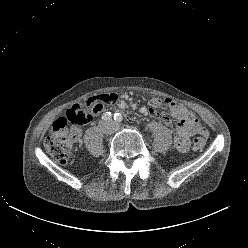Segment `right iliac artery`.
Segmentation results:
<instances>
[{
    "label": "right iliac artery",
    "instance_id": "1",
    "mask_svg": "<svg viewBox=\"0 0 248 248\" xmlns=\"http://www.w3.org/2000/svg\"><path fill=\"white\" fill-rule=\"evenodd\" d=\"M111 118H112V114L110 112H105L102 115V119L105 121H109V120H111Z\"/></svg>",
    "mask_w": 248,
    "mask_h": 248
}]
</instances>
